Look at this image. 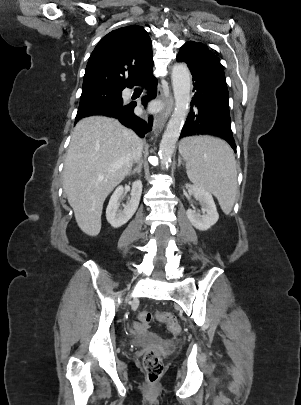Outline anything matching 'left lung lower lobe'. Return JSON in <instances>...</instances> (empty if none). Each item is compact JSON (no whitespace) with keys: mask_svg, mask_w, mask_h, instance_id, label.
Masks as SVG:
<instances>
[{"mask_svg":"<svg viewBox=\"0 0 301 405\" xmlns=\"http://www.w3.org/2000/svg\"><path fill=\"white\" fill-rule=\"evenodd\" d=\"M176 59L178 62H185L181 58ZM187 65L195 82L193 88L195 94L180 138L195 135L216 136L227 141L236 152L227 88L201 69L189 63Z\"/></svg>","mask_w":301,"mask_h":405,"instance_id":"0a47b994","label":"left lung lower lobe"}]
</instances>
